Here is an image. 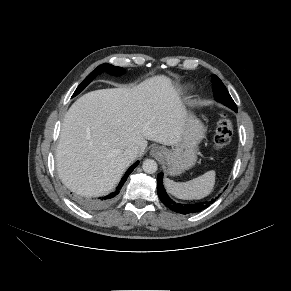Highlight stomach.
Instances as JSON below:
<instances>
[{"label":"stomach","mask_w":291,"mask_h":291,"mask_svg":"<svg viewBox=\"0 0 291 291\" xmlns=\"http://www.w3.org/2000/svg\"><path fill=\"white\" fill-rule=\"evenodd\" d=\"M205 133L203 123L195 115L187 113L180 141L171 149L162 147L161 159L170 175H179L195 165L198 145Z\"/></svg>","instance_id":"stomach-1"}]
</instances>
